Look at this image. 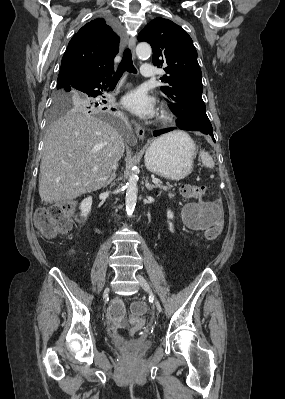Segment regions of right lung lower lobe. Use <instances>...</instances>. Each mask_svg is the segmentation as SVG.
Listing matches in <instances>:
<instances>
[{
    "label": "right lung lower lobe",
    "mask_w": 285,
    "mask_h": 399,
    "mask_svg": "<svg viewBox=\"0 0 285 399\" xmlns=\"http://www.w3.org/2000/svg\"><path fill=\"white\" fill-rule=\"evenodd\" d=\"M111 74L109 73L85 74L79 77L75 82H73L71 87L80 90L86 93L87 95L95 98L101 95L102 91L106 90L110 82Z\"/></svg>",
    "instance_id": "obj_1"
}]
</instances>
